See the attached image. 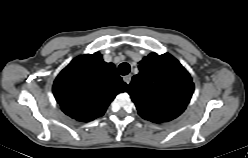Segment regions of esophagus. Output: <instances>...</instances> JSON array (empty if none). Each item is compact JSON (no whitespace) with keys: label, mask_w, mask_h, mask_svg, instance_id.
I'll list each match as a JSON object with an SVG mask.
<instances>
[{"label":"esophagus","mask_w":248,"mask_h":158,"mask_svg":"<svg viewBox=\"0 0 248 158\" xmlns=\"http://www.w3.org/2000/svg\"><path fill=\"white\" fill-rule=\"evenodd\" d=\"M123 80H124V82H125L127 85H129L130 82H131V76H130V75H126V76L123 77Z\"/></svg>","instance_id":"obj_1"}]
</instances>
